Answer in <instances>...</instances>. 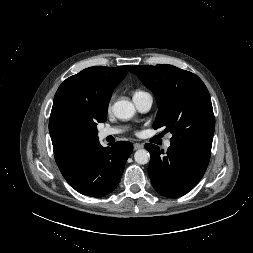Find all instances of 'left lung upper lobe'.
<instances>
[{
    "label": "left lung upper lobe",
    "instance_id": "5c2ea615",
    "mask_svg": "<svg viewBox=\"0 0 253 253\" xmlns=\"http://www.w3.org/2000/svg\"><path fill=\"white\" fill-rule=\"evenodd\" d=\"M144 85L152 90L158 113L154 129L165 127L173 134L171 145L210 157L215 119L209 92L195 74L172 65L132 66Z\"/></svg>",
    "mask_w": 253,
    "mask_h": 253
}]
</instances>
